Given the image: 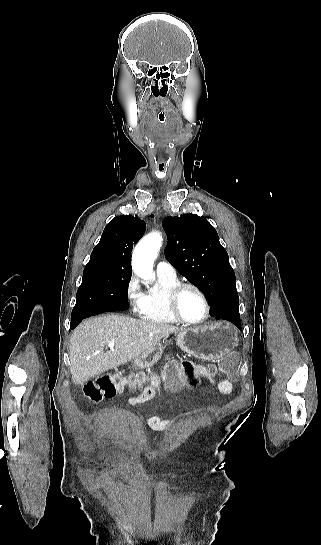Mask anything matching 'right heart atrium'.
Wrapping results in <instances>:
<instances>
[{
	"instance_id": "right-heart-atrium-1",
	"label": "right heart atrium",
	"mask_w": 321,
	"mask_h": 545,
	"mask_svg": "<svg viewBox=\"0 0 321 545\" xmlns=\"http://www.w3.org/2000/svg\"><path fill=\"white\" fill-rule=\"evenodd\" d=\"M124 294L131 312L135 315H140L145 300V294L142 291L138 279L133 274L129 276L125 283Z\"/></svg>"
}]
</instances>
